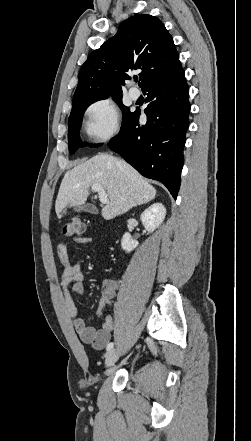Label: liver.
I'll use <instances>...</instances> for the list:
<instances>
[{
    "mask_svg": "<svg viewBox=\"0 0 251 441\" xmlns=\"http://www.w3.org/2000/svg\"><path fill=\"white\" fill-rule=\"evenodd\" d=\"M100 184L109 197L102 216L110 220L155 198L156 189L128 163L108 154H99L66 172L55 203L58 218L67 206H81L89 188Z\"/></svg>",
    "mask_w": 251,
    "mask_h": 441,
    "instance_id": "6515ba94",
    "label": "liver"
}]
</instances>
